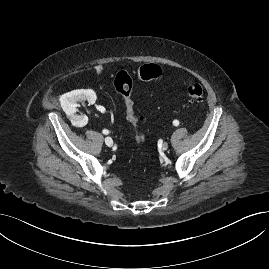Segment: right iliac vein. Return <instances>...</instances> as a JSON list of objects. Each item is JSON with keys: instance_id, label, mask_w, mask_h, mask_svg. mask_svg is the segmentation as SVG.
Returning <instances> with one entry per match:
<instances>
[{"instance_id": "63e3f726", "label": "right iliac vein", "mask_w": 269, "mask_h": 269, "mask_svg": "<svg viewBox=\"0 0 269 269\" xmlns=\"http://www.w3.org/2000/svg\"><path fill=\"white\" fill-rule=\"evenodd\" d=\"M105 144L109 147H111L113 145V140L111 137H106L105 138Z\"/></svg>"}]
</instances>
